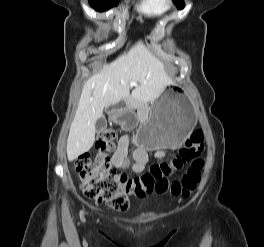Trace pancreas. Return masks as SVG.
I'll list each match as a JSON object with an SVG mask.
<instances>
[{
	"mask_svg": "<svg viewBox=\"0 0 264 247\" xmlns=\"http://www.w3.org/2000/svg\"><path fill=\"white\" fill-rule=\"evenodd\" d=\"M129 105H130L131 107H133V106L136 105V102H135V101H131V102L129 103Z\"/></svg>",
	"mask_w": 264,
	"mask_h": 247,
	"instance_id": "1",
	"label": "pancreas"
}]
</instances>
